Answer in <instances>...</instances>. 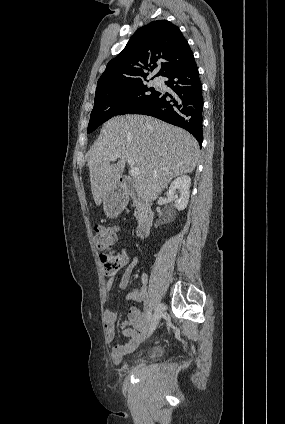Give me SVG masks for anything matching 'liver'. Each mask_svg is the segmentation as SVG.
Masks as SVG:
<instances>
[{
    "label": "liver",
    "instance_id": "obj_1",
    "mask_svg": "<svg viewBox=\"0 0 285 424\" xmlns=\"http://www.w3.org/2000/svg\"><path fill=\"white\" fill-rule=\"evenodd\" d=\"M118 161L110 164V156ZM199 145L187 131L143 115L117 116L106 122L87 153L91 191L99 206L116 188L129 159L140 170L135 180L139 197L158 198L169 182L192 172L198 162Z\"/></svg>",
    "mask_w": 285,
    "mask_h": 424
}]
</instances>
